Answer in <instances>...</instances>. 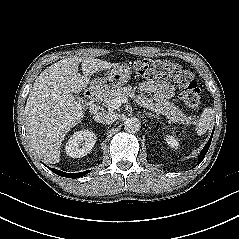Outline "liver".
<instances>
[{
	"label": "liver",
	"mask_w": 239,
	"mask_h": 239,
	"mask_svg": "<svg viewBox=\"0 0 239 239\" xmlns=\"http://www.w3.org/2000/svg\"><path fill=\"white\" fill-rule=\"evenodd\" d=\"M80 62L83 76L78 73ZM116 66L100 59L73 57L52 64L37 77L24 114L30 144L45 162L60 161L65 135L83 119L84 111L73 93L84 90L91 75Z\"/></svg>",
	"instance_id": "6515ba94"
}]
</instances>
